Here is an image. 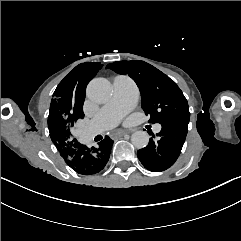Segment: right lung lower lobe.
Wrapping results in <instances>:
<instances>
[{
    "label": "right lung lower lobe",
    "instance_id": "1",
    "mask_svg": "<svg viewBox=\"0 0 241 241\" xmlns=\"http://www.w3.org/2000/svg\"><path fill=\"white\" fill-rule=\"evenodd\" d=\"M112 145L113 141L105 136L95 147H87L76 140L58 150L69 167L79 174L91 175L100 172L106 166Z\"/></svg>",
    "mask_w": 241,
    "mask_h": 241
}]
</instances>
